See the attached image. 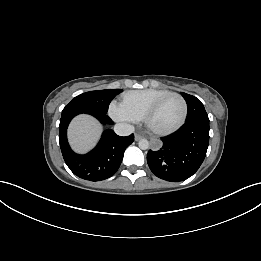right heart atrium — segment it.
Returning a JSON list of instances; mask_svg holds the SVG:
<instances>
[{
    "mask_svg": "<svg viewBox=\"0 0 261 261\" xmlns=\"http://www.w3.org/2000/svg\"><path fill=\"white\" fill-rule=\"evenodd\" d=\"M110 116L118 122H133L134 119L121 107V105L112 103L109 107Z\"/></svg>",
    "mask_w": 261,
    "mask_h": 261,
    "instance_id": "right-heart-atrium-1",
    "label": "right heart atrium"
}]
</instances>
